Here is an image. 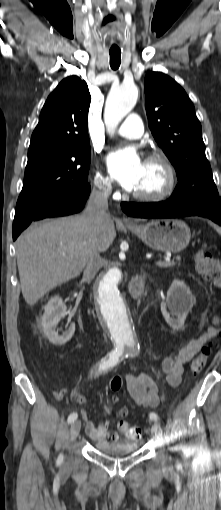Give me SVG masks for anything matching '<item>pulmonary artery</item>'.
I'll list each match as a JSON object with an SVG mask.
<instances>
[{"label":"pulmonary artery","mask_w":221,"mask_h":510,"mask_svg":"<svg viewBox=\"0 0 221 510\" xmlns=\"http://www.w3.org/2000/svg\"><path fill=\"white\" fill-rule=\"evenodd\" d=\"M144 132L143 123L139 115L130 114L119 127L116 134L126 139H137Z\"/></svg>","instance_id":"1"}]
</instances>
